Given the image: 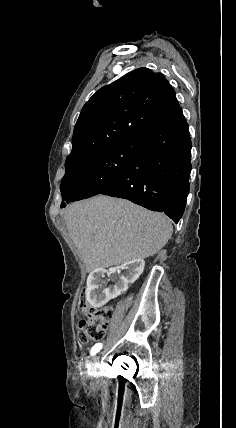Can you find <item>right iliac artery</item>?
<instances>
[{"mask_svg": "<svg viewBox=\"0 0 236 428\" xmlns=\"http://www.w3.org/2000/svg\"><path fill=\"white\" fill-rule=\"evenodd\" d=\"M102 349V344L101 343H96L92 348H91V355L94 356L96 353H98L100 350Z\"/></svg>", "mask_w": 236, "mask_h": 428, "instance_id": "right-iliac-artery-1", "label": "right iliac artery"}]
</instances>
